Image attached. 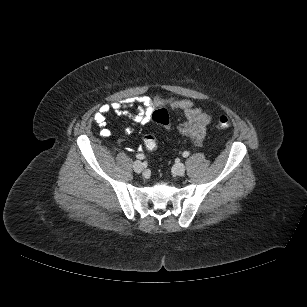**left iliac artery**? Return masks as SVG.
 Wrapping results in <instances>:
<instances>
[{"instance_id":"obj_1","label":"left iliac artery","mask_w":307,"mask_h":307,"mask_svg":"<svg viewBox=\"0 0 307 307\" xmlns=\"http://www.w3.org/2000/svg\"><path fill=\"white\" fill-rule=\"evenodd\" d=\"M189 154H190V153H189L188 151H185V152H183L182 156L186 158V157L189 156Z\"/></svg>"}]
</instances>
